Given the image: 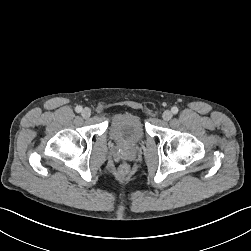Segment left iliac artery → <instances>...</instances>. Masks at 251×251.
I'll use <instances>...</instances> for the list:
<instances>
[{
	"label": "left iliac artery",
	"mask_w": 251,
	"mask_h": 251,
	"mask_svg": "<svg viewBox=\"0 0 251 251\" xmlns=\"http://www.w3.org/2000/svg\"><path fill=\"white\" fill-rule=\"evenodd\" d=\"M171 111H172L173 114H177L178 113V108L174 106V107L171 108Z\"/></svg>",
	"instance_id": "44dca946"
}]
</instances>
